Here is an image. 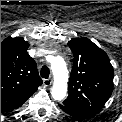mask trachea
I'll return each mask as SVG.
<instances>
[{
  "instance_id": "3493384b",
  "label": "trachea",
  "mask_w": 122,
  "mask_h": 122,
  "mask_svg": "<svg viewBox=\"0 0 122 122\" xmlns=\"http://www.w3.org/2000/svg\"><path fill=\"white\" fill-rule=\"evenodd\" d=\"M41 77L47 79L50 74V70L47 66H43L40 71Z\"/></svg>"
}]
</instances>
